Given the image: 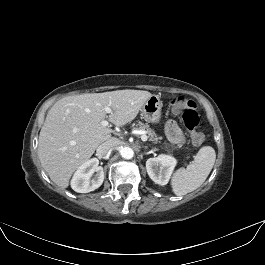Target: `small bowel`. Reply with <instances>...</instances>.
I'll use <instances>...</instances> for the list:
<instances>
[{"mask_svg": "<svg viewBox=\"0 0 265 265\" xmlns=\"http://www.w3.org/2000/svg\"><path fill=\"white\" fill-rule=\"evenodd\" d=\"M166 133L169 140L175 144L181 145L185 142V137L174 120H170L167 122Z\"/></svg>", "mask_w": 265, "mask_h": 265, "instance_id": "c3829d8e", "label": "small bowel"}]
</instances>
